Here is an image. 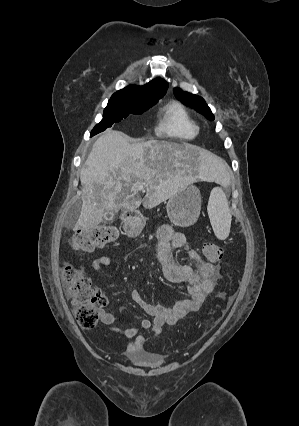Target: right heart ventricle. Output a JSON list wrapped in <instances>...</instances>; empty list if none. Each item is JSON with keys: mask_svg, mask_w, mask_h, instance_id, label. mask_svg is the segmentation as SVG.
I'll list each match as a JSON object with an SVG mask.
<instances>
[{"mask_svg": "<svg viewBox=\"0 0 299 426\" xmlns=\"http://www.w3.org/2000/svg\"><path fill=\"white\" fill-rule=\"evenodd\" d=\"M159 131L170 137L190 140L198 135L199 127L181 104L172 102L164 108Z\"/></svg>", "mask_w": 299, "mask_h": 426, "instance_id": "obj_1", "label": "right heart ventricle"}]
</instances>
